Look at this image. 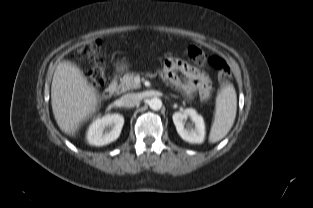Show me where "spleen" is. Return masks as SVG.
Returning <instances> with one entry per match:
<instances>
[{
	"instance_id": "1",
	"label": "spleen",
	"mask_w": 313,
	"mask_h": 208,
	"mask_svg": "<svg viewBox=\"0 0 313 208\" xmlns=\"http://www.w3.org/2000/svg\"><path fill=\"white\" fill-rule=\"evenodd\" d=\"M237 111V96L232 85L224 87L216 98L215 119L209 141L216 143L224 138L233 126Z\"/></svg>"
}]
</instances>
